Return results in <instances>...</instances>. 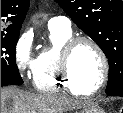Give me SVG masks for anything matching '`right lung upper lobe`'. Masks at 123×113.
I'll return each mask as SVG.
<instances>
[{
    "label": "right lung upper lobe",
    "mask_w": 123,
    "mask_h": 113,
    "mask_svg": "<svg viewBox=\"0 0 123 113\" xmlns=\"http://www.w3.org/2000/svg\"><path fill=\"white\" fill-rule=\"evenodd\" d=\"M29 0H1V35L19 34Z\"/></svg>",
    "instance_id": "1"
}]
</instances>
